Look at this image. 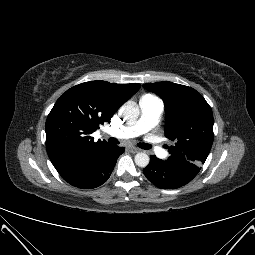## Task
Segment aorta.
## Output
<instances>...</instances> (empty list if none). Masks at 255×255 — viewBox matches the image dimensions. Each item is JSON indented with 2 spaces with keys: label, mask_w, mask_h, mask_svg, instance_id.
<instances>
[{
  "label": "aorta",
  "mask_w": 255,
  "mask_h": 255,
  "mask_svg": "<svg viewBox=\"0 0 255 255\" xmlns=\"http://www.w3.org/2000/svg\"><path fill=\"white\" fill-rule=\"evenodd\" d=\"M122 116L125 120L135 121L138 119L140 110L136 103L128 102L121 108ZM135 164L139 167H146L150 162V157L145 152H139L134 158Z\"/></svg>",
  "instance_id": "762f6f07"
}]
</instances>
